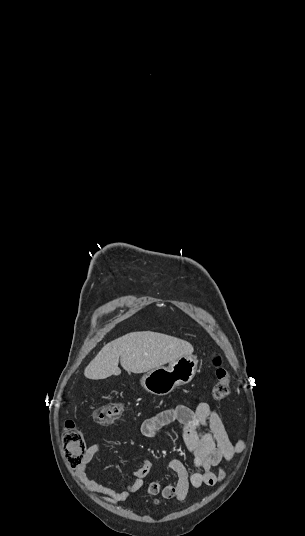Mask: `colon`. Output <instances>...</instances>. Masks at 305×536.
Instances as JSON below:
<instances>
[{"mask_svg":"<svg viewBox=\"0 0 305 536\" xmlns=\"http://www.w3.org/2000/svg\"><path fill=\"white\" fill-rule=\"evenodd\" d=\"M213 365L216 371V382L213 387V397L216 401L224 400L229 394L230 388V373L228 369L223 365L221 357L215 354L213 357ZM122 404L112 403L98 405L92 410L93 419L100 424H110L117 419L122 412ZM66 431L63 435V444L66 446L64 459L66 468L68 471H77L79 468L78 462H83L85 449V437L76 428L73 421H67L65 423ZM152 505L160 503V500L152 498L150 500ZM168 505L173 503L171 498L166 500Z\"/></svg>","mask_w":305,"mask_h":536,"instance_id":"5ec220e1","label":"colon"}]
</instances>
